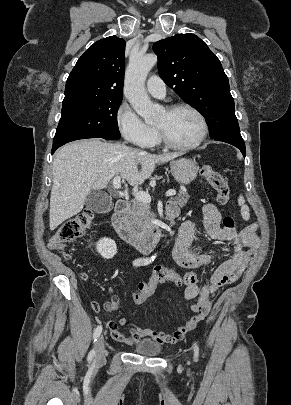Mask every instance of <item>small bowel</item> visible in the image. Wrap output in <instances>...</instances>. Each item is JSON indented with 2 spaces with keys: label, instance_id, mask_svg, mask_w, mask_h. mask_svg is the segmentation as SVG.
Listing matches in <instances>:
<instances>
[{
  "label": "small bowel",
  "instance_id": "c3829d8e",
  "mask_svg": "<svg viewBox=\"0 0 291 405\" xmlns=\"http://www.w3.org/2000/svg\"><path fill=\"white\" fill-rule=\"evenodd\" d=\"M202 212L204 228L210 239L215 242H229L232 248V256L214 269L207 285L203 287H199L197 284L186 286L185 298L187 300H196L191 306L194 315L173 334L143 328L125 317L120 318L118 323L109 321L107 327L114 340L126 345H132L142 338L149 337L159 343L175 344L205 319L211 308V297L216 290L241 277L259 246L255 226H247L240 232H237L235 228L229 229L221 226V213L212 203H206L202 208ZM194 234V222L185 221L180 227L178 240L173 250L174 261L178 266L185 269H195L210 264L214 259L212 254H196L189 250ZM92 307L94 311H99L97 303H93ZM118 307L119 297L112 294L111 299L104 304V309L106 312H114ZM118 325L129 327L130 335L122 334L118 330Z\"/></svg>",
  "mask_w": 291,
  "mask_h": 405
}]
</instances>
